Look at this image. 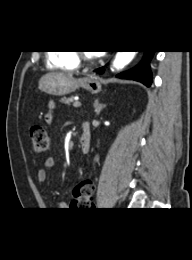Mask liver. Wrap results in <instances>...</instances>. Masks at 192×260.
<instances>
[{
    "mask_svg": "<svg viewBox=\"0 0 192 260\" xmlns=\"http://www.w3.org/2000/svg\"><path fill=\"white\" fill-rule=\"evenodd\" d=\"M60 75H65V76H69V77H72V74H67V73H59Z\"/></svg>",
    "mask_w": 192,
    "mask_h": 260,
    "instance_id": "liver-1",
    "label": "liver"
}]
</instances>
